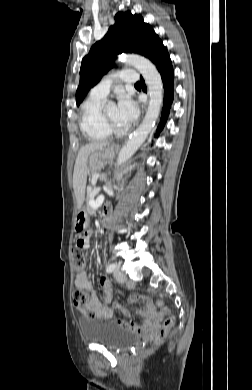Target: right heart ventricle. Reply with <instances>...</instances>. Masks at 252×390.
Masks as SVG:
<instances>
[{
	"label": "right heart ventricle",
	"mask_w": 252,
	"mask_h": 390,
	"mask_svg": "<svg viewBox=\"0 0 252 390\" xmlns=\"http://www.w3.org/2000/svg\"><path fill=\"white\" fill-rule=\"evenodd\" d=\"M103 98L89 96L81 106L80 129L91 141H105L111 132L105 127L102 120Z\"/></svg>",
	"instance_id": "obj_1"
}]
</instances>
